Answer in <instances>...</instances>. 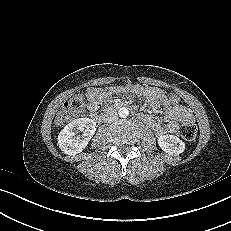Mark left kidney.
I'll list each match as a JSON object with an SVG mask.
<instances>
[{
	"mask_svg": "<svg viewBox=\"0 0 231 231\" xmlns=\"http://www.w3.org/2000/svg\"><path fill=\"white\" fill-rule=\"evenodd\" d=\"M157 141L160 148L169 155H179L185 150V143L174 135H161Z\"/></svg>",
	"mask_w": 231,
	"mask_h": 231,
	"instance_id": "5707ae66",
	"label": "left kidney"
}]
</instances>
